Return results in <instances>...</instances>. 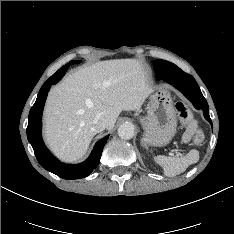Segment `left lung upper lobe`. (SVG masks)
<instances>
[{"mask_svg":"<svg viewBox=\"0 0 234 234\" xmlns=\"http://www.w3.org/2000/svg\"><path fill=\"white\" fill-rule=\"evenodd\" d=\"M152 62L157 79H163L165 76L177 75L183 72L175 64L165 60H155Z\"/></svg>","mask_w":234,"mask_h":234,"instance_id":"5c2ea615","label":"left lung upper lobe"}]
</instances>
